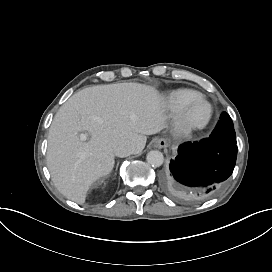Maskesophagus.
Here are the masks:
<instances>
[{
	"instance_id": "obj_1",
	"label": "esophagus",
	"mask_w": 272,
	"mask_h": 272,
	"mask_svg": "<svg viewBox=\"0 0 272 272\" xmlns=\"http://www.w3.org/2000/svg\"><path fill=\"white\" fill-rule=\"evenodd\" d=\"M153 146H154V148H157V149H164L169 146V142L165 138L158 137L154 140Z\"/></svg>"
}]
</instances>
